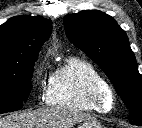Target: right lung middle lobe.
Instances as JSON below:
<instances>
[{
	"label": "right lung middle lobe",
	"mask_w": 142,
	"mask_h": 128,
	"mask_svg": "<svg viewBox=\"0 0 142 128\" xmlns=\"http://www.w3.org/2000/svg\"><path fill=\"white\" fill-rule=\"evenodd\" d=\"M34 59L13 73L0 74V114L19 110L26 102L31 88Z\"/></svg>",
	"instance_id": "obj_1"
}]
</instances>
